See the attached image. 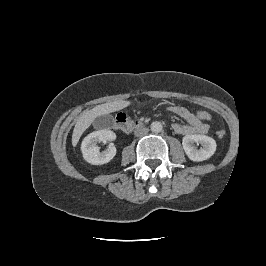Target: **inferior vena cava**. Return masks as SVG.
<instances>
[{
	"instance_id": "602c4592",
	"label": "inferior vena cava",
	"mask_w": 266,
	"mask_h": 266,
	"mask_svg": "<svg viewBox=\"0 0 266 266\" xmlns=\"http://www.w3.org/2000/svg\"><path fill=\"white\" fill-rule=\"evenodd\" d=\"M149 129L146 127H140L138 129L135 130L134 134L135 136H140V135H144L146 133H148Z\"/></svg>"
}]
</instances>
